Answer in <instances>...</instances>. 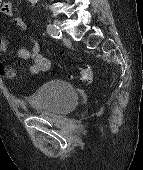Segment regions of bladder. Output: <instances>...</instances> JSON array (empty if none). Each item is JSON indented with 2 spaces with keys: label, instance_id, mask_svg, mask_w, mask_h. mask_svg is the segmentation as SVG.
Here are the masks:
<instances>
[{
  "label": "bladder",
  "instance_id": "31cf9c89",
  "mask_svg": "<svg viewBox=\"0 0 143 170\" xmlns=\"http://www.w3.org/2000/svg\"><path fill=\"white\" fill-rule=\"evenodd\" d=\"M78 103L76 89L64 81L50 79L42 83L30 99V110L44 116H65Z\"/></svg>",
  "mask_w": 143,
  "mask_h": 170
}]
</instances>
